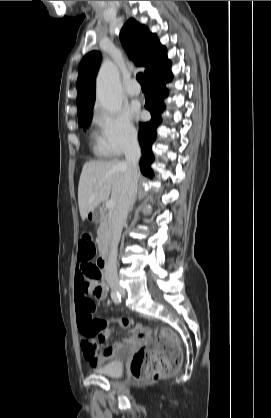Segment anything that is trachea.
<instances>
[{
    "mask_svg": "<svg viewBox=\"0 0 271 418\" xmlns=\"http://www.w3.org/2000/svg\"><path fill=\"white\" fill-rule=\"evenodd\" d=\"M138 82L140 83L141 86H144V76L142 73H138L136 76Z\"/></svg>",
    "mask_w": 271,
    "mask_h": 418,
    "instance_id": "obj_1",
    "label": "trachea"
}]
</instances>
